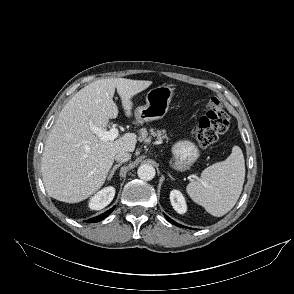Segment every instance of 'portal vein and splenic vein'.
I'll return each mask as SVG.
<instances>
[{
    "label": "portal vein and splenic vein",
    "mask_w": 294,
    "mask_h": 294,
    "mask_svg": "<svg viewBox=\"0 0 294 294\" xmlns=\"http://www.w3.org/2000/svg\"><path fill=\"white\" fill-rule=\"evenodd\" d=\"M90 129L103 141H114L119 136V131L115 126L111 127L109 131L95 125H90Z\"/></svg>",
    "instance_id": "portal-vein-and-splenic-vein-1"
}]
</instances>
